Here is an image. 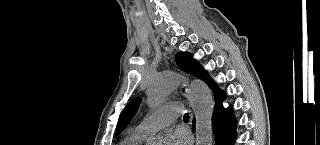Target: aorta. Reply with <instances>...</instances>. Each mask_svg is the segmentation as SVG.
Returning <instances> with one entry per match:
<instances>
[{
    "instance_id": "1",
    "label": "aorta",
    "mask_w": 320,
    "mask_h": 145,
    "mask_svg": "<svg viewBox=\"0 0 320 145\" xmlns=\"http://www.w3.org/2000/svg\"><path fill=\"white\" fill-rule=\"evenodd\" d=\"M178 73L166 71L154 76L149 84L148 104L152 108L160 106L177 87ZM190 102L196 118V145H212L213 99L208 86L201 80L190 84Z\"/></svg>"
}]
</instances>
